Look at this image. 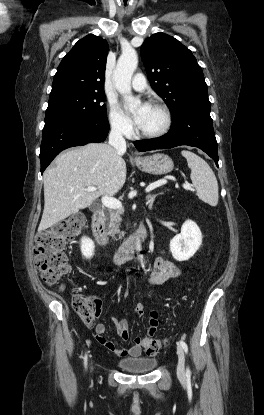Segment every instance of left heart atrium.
Listing matches in <instances>:
<instances>
[{
  "label": "left heart atrium",
  "mask_w": 264,
  "mask_h": 415,
  "mask_svg": "<svg viewBox=\"0 0 264 415\" xmlns=\"http://www.w3.org/2000/svg\"><path fill=\"white\" fill-rule=\"evenodd\" d=\"M150 105L147 103H143L140 108L133 114V119L135 121V123L137 124V126L140 125V123L142 122V119L144 117V115L146 114V112L148 111Z\"/></svg>",
  "instance_id": "obj_1"
}]
</instances>
